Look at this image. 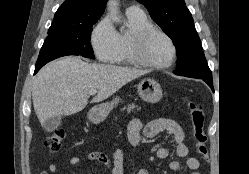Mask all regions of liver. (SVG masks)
I'll return each instance as SVG.
<instances>
[{
    "label": "liver",
    "instance_id": "liver-1",
    "mask_svg": "<svg viewBox=\"0 0 249 174\" xmlns=\"http://www.w3.org/2000/svg\"><path fill=\"white\" fill-rule=\"evenodd\" d=\"M145 74V70L87 63L80 57L61 58L43 67L34 79L35 113L41 125L55 115L75 114L86 107L91 90L97 91L91 103H98Z\"/></svg>",
    "mask_w": 249,
    "mask_h": 174
}]
</instances>
